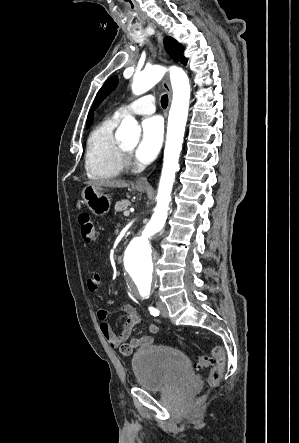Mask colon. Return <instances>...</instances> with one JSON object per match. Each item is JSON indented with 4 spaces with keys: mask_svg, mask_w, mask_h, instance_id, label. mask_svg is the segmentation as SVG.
<instances>
[{
    "mask_svg": "<svg viewBox=\"0 0 299 443\" xmlns=\"http://www.w3.org/2000/svg\"><path fill=\"white\" fill-rule=\"evenodd\" d=\"M78 221L82 239L87 243L93 242L96 239V229L90 215L82 213ZM225 361L224 349L217 346L212 349L211 356L199 355L195 362V368L204 369L213 365L209 374V385L215 386L223 377Z\"/></svg>",
    "mask_w": 299,
    "mask_h": 443,
    "instance_id": "5ec220e1",
    "label": "colon"
}]
</instances>
